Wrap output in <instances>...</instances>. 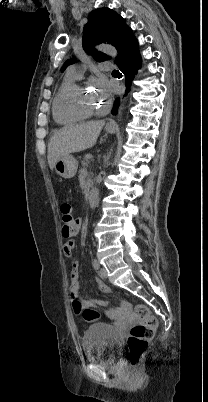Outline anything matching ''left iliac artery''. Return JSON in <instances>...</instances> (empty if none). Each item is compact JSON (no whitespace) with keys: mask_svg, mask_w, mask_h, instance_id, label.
I'll use <instances>...</instances> for the list:
<instances>
[{"mask_svg":"<svg viewBox=\"0 0 208 402\" xmlns=\"http://www.w3.org/2000/svg\"><path fill=\"white\" fill-rule=\"evenodd\" d=\"M93 266H94V268H95L96 270H98L99 267H100L99 262H98L96 259L93 260Z\"/></svg>","mask_w":208,"mask_h":402,"instance_id":"obj_1","label":"left iliac artery"}]
</instances>
